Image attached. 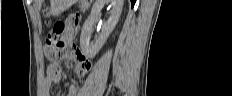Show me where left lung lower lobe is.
Instances as JSON below:
<instances>
[{
  "mask_svg": "<svg viewBox=\"0 0 232 96\" xmlns=\"http://www.w3.org/2000/svg\"><path fill=\"white\" fill-rule=\"evenodd\" d=\"M135 2H136L135 0H131L132 7L135 4Z\"/></svg>",
  "mask_w": 232,
  "mask_h": 96,
  "instance_id": "1",
  "label": "left lung lower lobe"
}]
</instances>
